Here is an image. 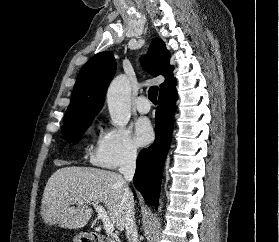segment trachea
I'll return each instance as SVG.
<instances>
[{
  "label": "trachea",
  "instance_id": "obj_1",
  "mask_svg": "<svg viewBox=\"0 0 279 242\" xmlns=\"http://www.w3.org/2000/svg\"><path fill=\"white\" fill-rule=\"evenodd\" d=\"M157 95H158V87H157V86H152V87L148 90V97H149V100H150L153 104H156V103H157Z\"/></svg>",
  "mask_w": 279,
  "mask_h": 242
}]
</instances>
